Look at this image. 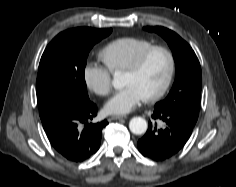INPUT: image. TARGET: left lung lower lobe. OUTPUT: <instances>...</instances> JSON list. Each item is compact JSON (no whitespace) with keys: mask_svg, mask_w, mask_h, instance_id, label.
<instances>
[{"mask_svg":"<svg viewBox=\"0 0 236 187\" xmlns=\"http://www.w3.org/2000/svg\"><path fill=\"white\" fill-rule=\"evenodd\" d=\"M153 119L165 123L157 128L149 122L146 134L138 141V149L154 161H163L176 154L189 139L198 118L175 110L154 107Z\"/></svg>","mask_w":236,"mask_h":187,"instance_id":"1","label":"left lung lower lobe"}]
</instances>
